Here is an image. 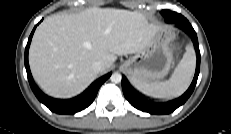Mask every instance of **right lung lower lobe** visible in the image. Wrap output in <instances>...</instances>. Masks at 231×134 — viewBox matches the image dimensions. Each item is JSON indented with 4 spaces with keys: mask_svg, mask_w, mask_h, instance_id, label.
Wrapping results in <instances>:
<instances>
[{
    "mask_svg": "<svg viewBox=\"0 0 231 134\" xmlns=\"http://www.w3.org/2000/svg\"><path fill=\"white\" fill-rule=\"evenodd\" d=\"M35 29L36 26L34 27L28 39L27 46L25 48V67L27 71L28 81L34 94L36 95V97L39 99L40 102H42L51 111L55 113L74 114L76 112H79L87 108L95 99L100 86L111 76V73H108L107 75H104L103 77L96 80L84 93L73 99L59 100V99H53L51 97H48L42 91H40V89L34 83L28 63L29 46Z\"/></svg>",
    "mask_w": 231,
    "mask_h": 134,
    "instance_id": "right-lung-lower-lobe-1",
    "label": "right lung lower lobe"
}]
</instances>
